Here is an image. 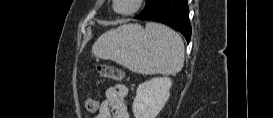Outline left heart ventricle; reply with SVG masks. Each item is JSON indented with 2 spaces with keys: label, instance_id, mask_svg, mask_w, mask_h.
Here are the masks:
<instances>
[{
  "label": "left heart ventricle",
  "instance_id": "1",
  "mask_svg": "<svg viewBox=\"0 0 273 118\" xmlns=\"http://www.w3.org/2000/svg\"><path fill=\"white\" fill-rule=\"evenodd\" d=\"M131 6H132L131 0H120V2L118 4V8L120 10H127V9L131 8Z\"/></svg>",
  "mask_w": 273,
  "mask_h": 118
}]
</instances>
